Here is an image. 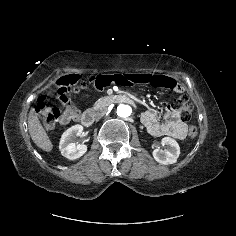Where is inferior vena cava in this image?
<instances>
[{
  "label": "inferior vena cava",
  "mask_w": 236,
  "mask_h": 236,
  "mask_svg": "<svg viewBox=\"0 0 236 236\" xmlns=\"http://www.w3.org/2000/svg\"><path fill=\"white\" fill-rule=\"evenodd\" d=\"M103 116V113H97L96 114V119H100Z\"/></svg>",
  "instance_id": "obj_1"
}]
</instances>
